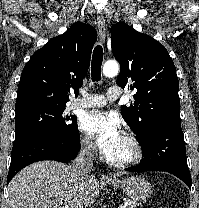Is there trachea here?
I'll return each instance as SVG.
<instances>
[{"instance_id":"trachea-1","label":"trachea","mask_w":199,"mask_h":208,"mask_svg":"<svg viewBox=\"0 0 199 208\" xmlns=\"http://www.w3.org/2000/svg\"><path fill=\"white\" fill-rule=\"evenodd\" d=\"M103 62V49L100 45L94 48L92 63H91V77L93 82L101 80V65Z\"/></svg>"}]
</instances>
